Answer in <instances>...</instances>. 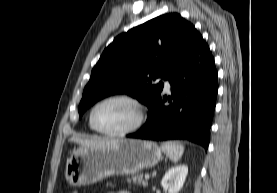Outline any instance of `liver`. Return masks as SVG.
I'll use <instances>...</instances> for the list:
<instances>
[{"instance_id": "liver-1", "label": "liver", "mask_w": 277, "mask_h": 193, "mask_svg": "<svg viewBox=\"0 0 277 193\" xmlns=\"http://www.w3.org/2000/svg\"><path fill=\"white\" fill-rule=\"evenodd\" d=\"M69 141L76 142L80 144L82 147H90V148H101L114 142L113 139L101 138V137H94L89 139L72 137Z\"/></svg>"}]
</instances>
